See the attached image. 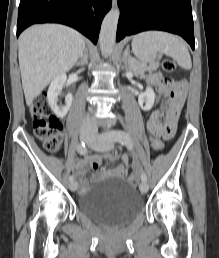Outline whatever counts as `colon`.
Masks as SVG:
<instances>
[{
    "label": "colon",
    "mask_w": 219,
    "mask_h": 258,
    "mask_svg": "<svg viewBox=\"0 0 219 258\" xmlns=\"http://www.w3.org/2000/svg\"><path fill=\"white\" fill-rule=\"evenodd\" d=\"M162 68L165 72L173 73L176 71L177 65L174 60L165 59L162 62ZM29 115L33 121L34 133L42 142L43 147L50 152L57 151L62 142V124L52 113L45 95H39L33 100L29 108ZM151 144L155 152H161L164 149L161 136L154 135ZM128 181L135 185L138 177L132 174Z\"/></svg>",
    "instance_id": "1"
}]
</instances>
